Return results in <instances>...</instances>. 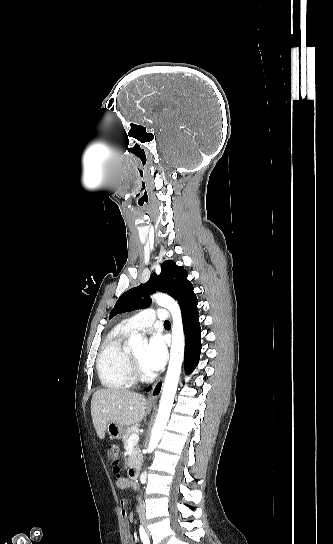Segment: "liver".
Instances as JSON below:
<instances>
[{"label":"liver","mask_w":333,"mask_h":544,"mask_svg":"<svg viewBox=\"0 0 333 544\" xmlns=\"http://www.w3.org/2000/svg\"><path fill=\"white\" fill-rule=\"evenodd\" d=\"M145 415V398L141 394L124 389H100L91 401V416L100 439H104L109 422L121 426L139 423Z\"/></svg>","instance_id":"6515ba94"}]
</instances>
